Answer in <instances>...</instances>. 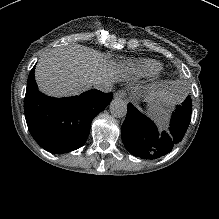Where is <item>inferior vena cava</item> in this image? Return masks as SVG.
I'll return each mask as SVG.
<instances>
[{
    "mask_svg": "<svg viewBox=\"0 0 219 219\" xmlns=\"http://www.w3.org/2000/svg\"><path fill=\"white\" fill-rule=\"evenodd\" d=\"M92 86L93 88L104 93L111 92L113 89L112 83L108 79L103 77L95 78V80L92 83Z\"/></svg>",
    "mask_w": 219,
    "mask_h": 219,
    "instance_id": "1",
    "label": "inferior vena cava"
}]
</instances>
